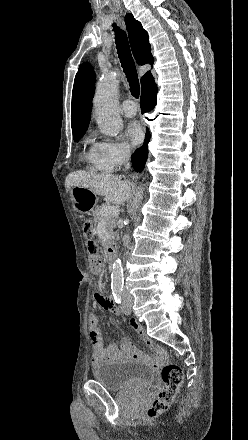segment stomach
<instances>
[{
	"mask_svg": "<svg viewBox=\"0 0 248 440\" xmlns=\"http://www.w3.org/2000/svg\"><path fill=\"white\" fill-rule=\"evenodd\" d=\"M70 195L74 209L81 213L92 210L98 201L96 194L83 187H77V186L71 187ZM103 224L106 225L105 226L106 230L110 229V226L107 225L108 224L107 220H104ZM103 243L107 244L108 240L104 239Z\"/></svg>",
	"mask_w": 248,
	"mask_h": 440,
	"instance_id": "1",
	"label": "stomach"
}]
</instances>
